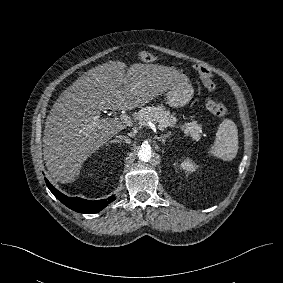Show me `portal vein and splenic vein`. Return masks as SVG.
<instances>
[{
    "label": "portal vein and splenic vein",
    "mask_w": 283,
    "mask_h": 283,
    "mask_svg": "<svg viewBox=\"0 0 283 283\" xmlns=\"http://www.w3.org/2000/svg\"><path fill=\"white\" fill-rule=\"evenodd\" d=\"M119 119L122 121L123 124H125L126 126H132L133 123H132V120L131 118L128 116V115H120ZM151 128L154 130V129H158L160 131H164V128L160 125H157L155 126L154 124H151Z\"/></svg>",
    "instance_id": "obj_1"
}]
</instances>
